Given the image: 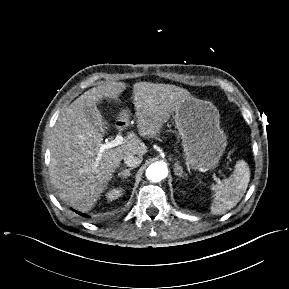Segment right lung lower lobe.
<instances>
[{
	"instance_id": "98d812e1",
	"label": "right lung lower lobe",
	"mask_w": 289,
	"mask_h": 289,
	"mask_svg": "<svg viewBox=\"0 0 289 289\" xmlns=\"http://www.w3.org/2000/svg\"><path fill=\"white\" fill-rule=\"evenodd\" d=\"M77 213L80 214L81 216L89 217V216H87V215H85V214H82V213H79V212H77Z\"/></svg>"
}]
</instances>
